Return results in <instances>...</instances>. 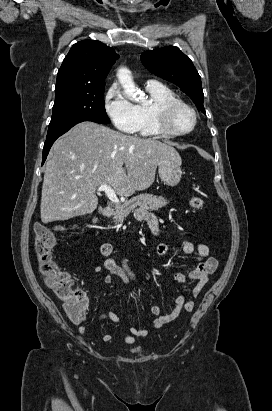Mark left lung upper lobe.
Instances as JSON below:
<instances>
[{
  "mask_svg": "<svg viewBox=\"0 0 272 411\" xmlns=\"http://www.w3.org/2000/svg\"><path fill=\"white\" fill-rule=\"evenodd\" d=\"M141 62L151 73L179 86L197 109L205 114L201 78L194 64L178 47L168 46L141 54Z\"/></svg>",
  "mask_w": 272,
  "mask_h": 411,
  "instance_id": "obj_1",
  "label": "left lung upper lobe"
}]
</instances>
